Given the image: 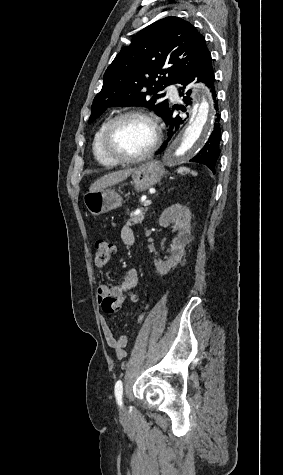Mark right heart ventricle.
Instances as JSON below:
<instances>
[{
  "label": "right heart ventricle",
  "mask_w": 283,
  "mask_h": 475,
  "mask_svg": "<svg viewBox=\"0 0 283 475\" xmlns=\"http://www.w3.org/2000/svg\"><path fill=\"white\" fill-rule=\"evenodd\" d=\"M111 120H112L111 117H108V118L104 119L99 124V126L97 127V129L95 130V132L93 134L92 153H93V156H94V158L97 162H107L106 157H105V155L103 154V152L101 150V138H102V135H103L107 125L109 124V122Z\"/></svg>",
  "instance_id": "e07e8e85"
}]
</instances>
